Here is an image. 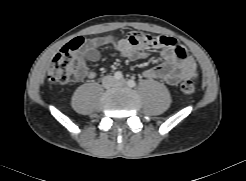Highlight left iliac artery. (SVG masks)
<instances>
[{"instance_id": "44dca946", "label": "left iliac artery", "mask_w": 246, "mask_h": 181, "mask_svg": "<svg viewBox=\"0 0 246 181\" xmlns=\"http://www.w3.org/2000/svg\"><path fill=\"white\" fill-rule=\"evenodd\" d=\"M127 84L129 87H135L136 86V82L134 80H128Z\"/></svg>"}]
</instances>
